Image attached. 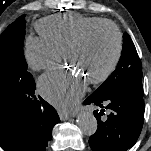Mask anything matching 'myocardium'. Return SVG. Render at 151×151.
<instances>
[{"label": "myocardium", "instance_id": "1", "mask_svg": "<svg viewBox=\"0 0 151 151\" xmlns=\"http://www.w3.org/2000/svg\"><path fill=\"white\" fill-rule=\"evenodd\" d=\"M101 28H109L112 30L115 36V53L109 66L100 75L89 80V82L92 84H99L106 81L114 72L120 61L122 50H123V40H122V34L118 26L115 23L108 20L94 23L89 27H87L80 35L74 38L71 42H69L63 51L65 60H68L69 54L72 51L81 47L94 31Z\"/></svg>", "mask_w": 151, "mask_h": 151}]
</instances>
